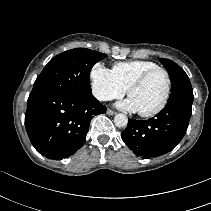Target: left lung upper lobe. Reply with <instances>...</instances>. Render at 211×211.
<instances>
[{
    "label": "left lung upper lobe",
    "instance_id": "5c2ea615",
    "mask_svg": "<svg viewBox=\"0 0 211 211\" xmlns=\"http://www.w3.org/2000/svg\"><path fill=\"white\" fill-rule=\"evenodd\" d=\"M160 62L166 68L172 82L168 102L181 100L193 103V89L184 70L172 60L161 58Z\"/></svg>",
    "mask_w": 211,
    "mask_h": 211
}]
</instances>
